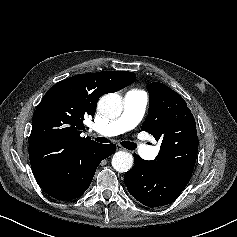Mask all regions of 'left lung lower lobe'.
Listing matches in <instances>:
<instances>
[{
    "label": "left lung lower lobe",
    "mask_w": 237,
    "mask_h": 237,
    "mask_svg": "<svg viewBox=\"0 0 237 237\" xmlns=\"http://www.w3.org/2000/svg\"><path fill=\"white\" fill-rule=\"evenodd\" d=\"M135 165L125 173L129 193L148 207L173 202L186 187L192 172L170 169L156 161L143 160L134 154Z\"/></svg>",
    "instance_id": "1"
}]
</instances>
